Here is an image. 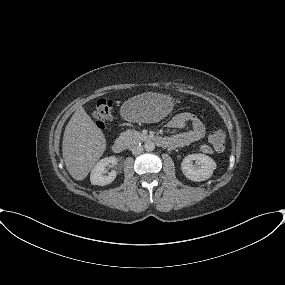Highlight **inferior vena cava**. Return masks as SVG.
Listing matches in <instances>:
<instances>
[{
  "mask_svg": "<svg viewBox=\"0 0 285 285\" xmlns=\"http://www.w3.org/2000/svg\"><path fill=\"white\" fill-rule=\"evenodd\" d=\"M132 154L133 155H139L143 151V147L141 145H135L131 148Z\"/></svg>",
  "mask_w": 285,
  "mask_h": 285,
  "instance_id": "1",
  "label": "inferior vena cava"
}]
</instances>
